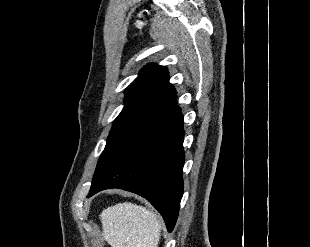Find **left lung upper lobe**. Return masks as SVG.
Here are the masks:
<instances>
[{
	"instance_id": "1",
	"label": "left lung upper lobe",
	"mask_w": 310,
	"mask_h": 247,
	"mask_svg": "<svg viewBox=\"0 0 310 247\" xmlns=\"http://www.w3.org/2000/svg\"><path fill=\"white\" fill-rule=\"evenodd\" d=\"M175 105L176 91L169 83L167 68L146 65L125 90L124 108L113 122L92 185L143 130Z\"/></svg>"
}]
</instances>
